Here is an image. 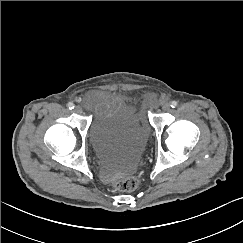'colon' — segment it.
<instances>
[{
    "label": "colon",
    "instance_id": "obj_1",
    "mask_svg": "<svg viewBox=\"0 0 243 243\" xmlns=\"http://www.w3.org/2000/svg\"><path fill=\"white\" fill-rule=\"evenodd\" d=\"M139 179L137 176H129L125 179L119 180L114 184V188L122 192H130L137 188Z\"/></svg>",
    "mask_w": 243,
    "mask_h": 243
}]
</instances>
